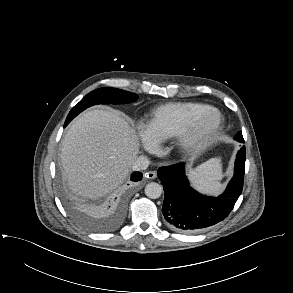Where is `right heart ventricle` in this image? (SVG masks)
<instances>
[{"label": "right heart ventricle", "mask_w": 293, "mask_h": 293, "mask_svg": "<svg viewBox=\"0 0 293 293\" xmlns=\"http://www.w3.org/2000/svg\"><path fill=\"white\" fill-rule=\"evenodd\" d=\"M215 109L196 102H174L157 107L146 120V127L157 141L178 137L199 114Z\"/></svg>", "instance_id": "right-heart-ventricle-1"}]
</instances>
